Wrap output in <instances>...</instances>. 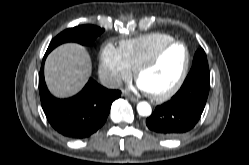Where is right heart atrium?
Returning <instances> with one entry per match:
<instances>
[{"mask_svg":"<svg viewBox=\"0 0 249 165\" xmlns=\"http://www.w3.org/2000/svg\"><path fill=\"white\" fill-rule=\"evenodd\" d=\"M131 69L119 49L107 44L100 53L99 75L109 87H118L131 77Z\"/></svg>","mask_w":249,"mask_h":165,"instance_id":"right-heart-atrium-1","label":"right heart atrium"}]
</instances>
